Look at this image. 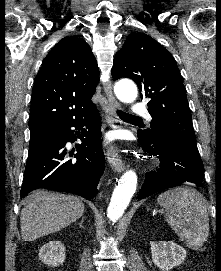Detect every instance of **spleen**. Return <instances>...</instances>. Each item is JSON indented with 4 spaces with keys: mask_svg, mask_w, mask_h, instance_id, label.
I'll return each instance as SVG.
<instances>
[{
    "mask_svg": "<svg viewBox=\"0 0 221 271\" xmlns=\"http://www.w3.org/2000/svg\"><path fill=\"white\" fill-rule=\"evenodd\" d=\"M166 207L165 221L190 249H199L209 235L206 201L196 189L175 187L159 195ZM164 201V203H163Z\"/></svg>",
    "mask_w": 221,
    "mask_h": 271,
    "instance_id": "1",
    "label": "spleen"
}]
</instances>
